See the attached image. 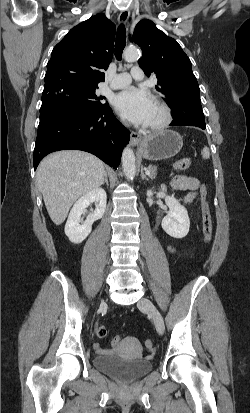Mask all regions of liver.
Instances as JSON below:
<instances>
[{"instance_id": "1", "label": "liver", "mask_w": 250, "mask_h": 413, "mask_svg": "<svg viewBox=\"0 0 250 413\" xmlns=\"http://www.w3.org/2000/svg\"><path fill=\"white\" fill-rule=\"evenodd\" d=\"M103 162L78 150L58 151L46 156L37 168V185L51 220L60 225L73 203L102 185Z\"/></svg>"}]
</instances>
